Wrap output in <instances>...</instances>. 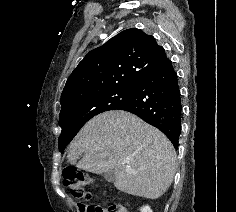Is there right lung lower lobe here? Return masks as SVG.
Returning <instances> with one entry per match:
<instances>
[{
    "instance_id": "98d812e1",
    "label": "right lung lower lobe",
    "mask_w": 236,
    "mask_h": 212,
    "mask_svg": "<svg viewBox=\"0 0 236 212\" xmlns=\"http://www.w3.org/2000/svg\"><path fill=\"white\" fill-rule=\"evenodd\" d=\"M117 110L131 112L160 129L177 149L182 105L178 76L165 55L136 86L133 96Z\"/></svg>"
}]
</instances>
